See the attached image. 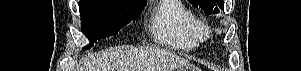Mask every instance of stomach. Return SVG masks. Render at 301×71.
Wrapping results in <instances>:
<instances>
[{"mask_svg":"<svg viewBox=\"0 0 301 71\" xmlns=\"http://www.w3.org/2000/svg\"><path fill=\"white\" fill-rule=\"evenodd\" d=\"M176 71H196V68L190 64L180 66Z\"/></svg>","mask_w":301,"mask_h":71,"instance_id":"0dacf381","label":"stomach"}]
</instances>
